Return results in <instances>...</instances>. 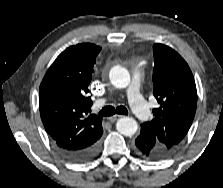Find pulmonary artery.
<instances>
[{
  "instance_id": "e3ab8cb5",
  "label": "pulmonary artery",
  "mask_w": 223,
  "mask_h": 188,
  "mask_svg": "<svg viewBox=\"0 0 223 188\" xmlns=\"http://www.w3.org/2000/svg\"><path fill=\"white\" fill-rule=\"evenodd\" d=\"M141 74L140 68L134 69L131 86L128 90V99L133 112L142 120H146L150 116V111L140 93ZM106 99L98 100L100 105H103Z\"/></svg>"
}]
</instances>
